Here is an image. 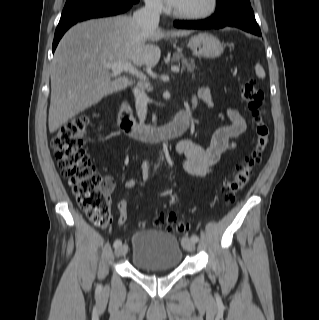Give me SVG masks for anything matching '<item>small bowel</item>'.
Returning a JSON list of instances; mask_svg holds the SVG:
<instances>
[{"label": "small bowel", "mask_w": 319, "mask_h": 320, "mask_svg": "<svg viewBox=\"0 0 319 320\" xmlns=\"http://www.w3.org/2000/svg\"><path fill=\"white\" fill-rule=\"evenodd\" d=\"M212 106L211 93L208 88L201 87L197 92L196 100ZM227 116L230 123L218 128L212 136L210 146L203 148L190 140H183L176 146V152L181 158L183 169L190 175L203 177L208 175L221 158L234 146V140L241 136L247 128L246 121L241 113L236 109H228ZM149 167L146 164L143 169ZM145 177L131 178L125 181L126 189H133L144 184ZM121 213H126L124 201L118 205Z\"/></svg>", "instance_id": "small-bowel-1"}]
</instances>
